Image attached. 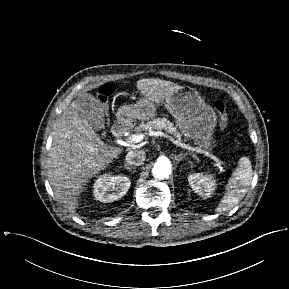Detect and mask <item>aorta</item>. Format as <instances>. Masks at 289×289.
Returning <instances> with one entry per match:
<instances>
[{"mask_svg": "<svg viewBox=\"0 0 289 289\" xmlns=\"http://www.w3.org/2000/svg\"><path fill=\"white\" fill-rule=\"evenodd\" d=\"M152 174L160 180L168 178L171 174V162L165 157L158 158L152 168Z\"/></svg>", "mask_w": 289, "mask_h": 289, "instance_id": "aorta-1", "label": "aorta"}]
</instances>
